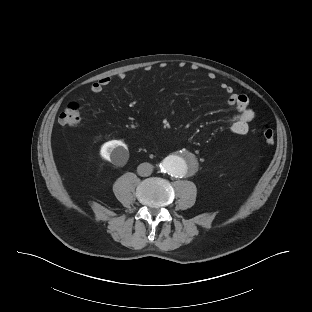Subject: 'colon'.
I'll return each instance as SVG.
<instances>
[{"instance_id": "obj_1", "label": "colon", "mask_w": 312, "mask_h": 312, "mask_svg": "<svg viewBox=\"0 0 312 312\" xmlns=\"http://www.w3.org/2000/svg\"><path fill=\"white\" fill-rule=\"evenodd\" d=\"M81 108L77 102L69 103L64 111L59 115L58 121L64 126H76L81 120ZM262 136L268 145H272L275 141V134L271 127L264 125L262 128Z\"/></svg>"}]
</instances>
